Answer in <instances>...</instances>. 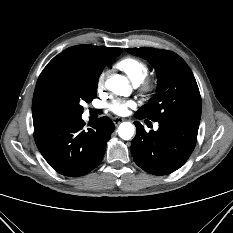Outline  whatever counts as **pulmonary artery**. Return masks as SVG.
<instances>
[{"instance_id": "1", "label": "pulmonary artery", "mask_w": 233, "mask_h": 233, "mask_svg": "<svg viewBox=\"0 0 233 233\" xmlns=\"http://www.w3.org/2000/svg\"><path fill=\"white\" fill-rule=\"evenodd\" d=\"M154 127H155V129H157L158 128V124H155Z\"/></svg>"}]
</instances>
